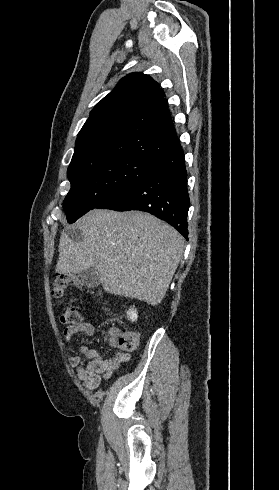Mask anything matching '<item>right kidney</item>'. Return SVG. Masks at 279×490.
Segmentation results:
<instances>
[{"label":"right kidney","mask_w":279,"mask_h":490,"mask_svg":"<svg viewBox=\"0 0 279 490\" xmlns=\"http://www.w3.org/2000/svg\"><path fill=\"white\" fill-rule=\"evenodd\" d=\"M127 314V318H129V320H131V322H136L138 316H137V312L136 310H134V308H131V310H128V312H126Z\"/></svg>","instance_id":"obj_1"}]
</instances>
